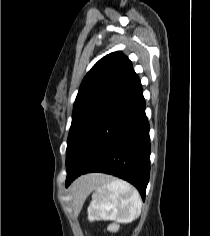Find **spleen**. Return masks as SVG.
<instances>
[{
    "instance_id": "3e777b00",
    "label": "spleen",
    "mask_w": 210,
    "mask_h": 236,
    "mask_svg": "<svg viewBox=\"0 0 210 236\" xmlns=\"http://www.w3.org/2000/svg\"><path fill=\"white\" fill-rule=\"evenodd\" d=\"M92 190V201L88 207L91 221L102 219L130 223L141 214L142 200L136 189L120 179L111 180L103 176L97 181L87 183L80 189L82 195Z\"/></svg>"
}]
</instances>
